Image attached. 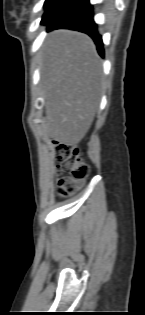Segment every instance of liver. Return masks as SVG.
<instances>
[{
	"label": "liver",
	"mask_w": 145,
	"mask_h": 315,
	"mask_svg": "<svg viewBox=\"0 0 145 315\" xmlns=\"http://www.w3.org/2000/svg\"><path fill=\"white\" fill-rule=\"evenodd\" d=\"M48 135L63 144L79 143L94 120L103 73L92 39L58 30L47 38L40 63Z\"/></svg>",
	"instance_id": "liver-1"
}]
</instances>
